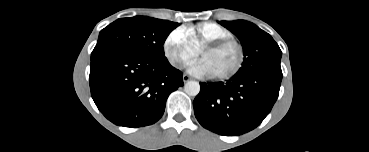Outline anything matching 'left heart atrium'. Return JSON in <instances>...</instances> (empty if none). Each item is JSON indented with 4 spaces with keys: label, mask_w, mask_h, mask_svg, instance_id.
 <instances>
[{
    "label": "left heart atrium",
    "mask_w": 369,
    "mask_h": 152,
    "mask_svg": "<svg viewBox=\"0 0 369 152\" xmlns=\"http://www.w3.org/2000/svg\"><path fill=\"white\" fill-rule=\"evenodd\" d=\"M188 71L198 77H211L207 63L201 59L192 62L188 67Z\"/></svg>",
    "instance_id": "obj_1"
}]
</instances>
